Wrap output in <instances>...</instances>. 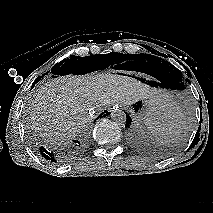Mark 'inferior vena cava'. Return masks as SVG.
<instances>
[{"instance_id": "obj_1", "label": "inferior vena cava", "mask_w": 213, "mask_h": 213, "mask_svg": "<svg viewBox=\"0 0 213 213\" xmlns=\"http://www.w3.org/2000/svg\"><path fill=\"white\" fill-rule=\"evenodd\" d=\"M88 113L90 114V116H93V114L95 113V110L93 108H90L88 110Z\"/></svg>"}]
</instances>
